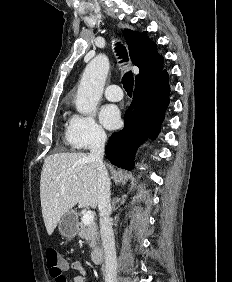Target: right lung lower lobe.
Listing matches in <instances>:
<instances>
[{
  "mask_svg": "<svg viewBox=\"0 0 232 282\" xmlns=\"http://www.w3.org/2000/svg\"><path fill=\"white\" fill-rule=\"evenodd\" d=\"M165 69L136 79L133 101L125 112L124 128L112 134L106 157L117 167L133 168L135 150L149 136L156 137L169 104L170 87Z\"/></svg>",
  "mask_w": 232,
  "mask_h": 282,
  "instance_id": "1",
  "label": "right lung lower lobe"
}]
</instances>
